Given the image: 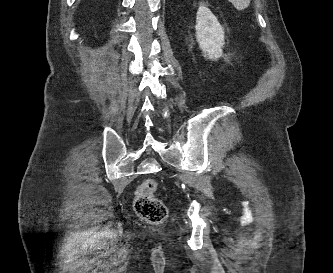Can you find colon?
Instances as JSON below:
<instances>
[{
    "label": "colon",
    "instance_id": "5ec220e1",
    "mask_svg": "<svg viewBox=\"0 0 333 273\" xmlns=\"http://www.w3.org/2000/svg\"><path fill=\"white\" fill-rule=\"evenodd\" d=\"M156 182L145 180L137 189L134 210L139 217L151 224L162 223L168 215L165 204L155 197Z\"/></svg>",
    "mask_w": 333,
    "mask_h": 273
}]
</instances>
